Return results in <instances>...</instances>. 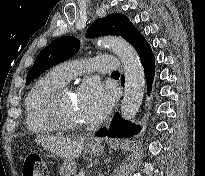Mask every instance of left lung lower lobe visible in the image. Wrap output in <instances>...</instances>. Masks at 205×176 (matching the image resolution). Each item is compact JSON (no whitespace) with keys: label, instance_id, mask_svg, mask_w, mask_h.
<instances>
[{"label":"left lung lower lobe","instance_id":"left-lung-lower-lobe-1","mask_svg":"<svg viewBox=\"0 0 205 176\" xmlns=\"http://www.w3.org/2000/svg\"><path fill=\"white\" fill-rule=\"evenodd\" d=\"M128 42L136 49L139 54L142 66L144 68V73L147 81L148 93L151 91V86L154 78V65L155 58L152 53L149 43L145 40L143 35L135 29ZM140 126H136L130 121L124 120L120 114L117 112L112 120V122L107 126L102 128L96 133V136L104 137H132L140 132Z\"/></svg>","mask_w":205,"mask_h":176}]
</instances>
